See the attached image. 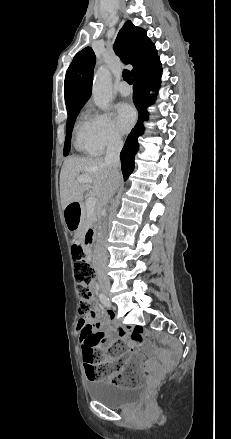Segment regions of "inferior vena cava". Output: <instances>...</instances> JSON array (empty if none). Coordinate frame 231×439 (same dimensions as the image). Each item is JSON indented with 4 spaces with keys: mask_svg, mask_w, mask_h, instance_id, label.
<instances>
[{
    "mask_svg": "<svg viewBox=\"0 0 231 439\" xmlns=\"http://www.w3.org/2000/svg\"><path fill=\"white\" fill-rule=\"evenodd\" d=\"M123 146V141L119 135H114L107 147L105 155V163L110 167L113 177V183L107 195L106 203L113 197L118 187V179L120 178V152ZM108 255L103 244H100L96 249L95 269L98 274L107 279L103 268L107 263Z\"/></svg>",
    "mask_w": 231,
    "mask_h": 439,
    "instance_id": "obj_1",
    "label": "inferior vena cava"
}]
</instances>
